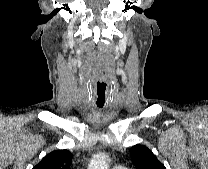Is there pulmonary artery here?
Instances as JSON below:
<instances>
[{"label": "pulmonary artery", "instance_id": "pulmonary-artery-1", "mask_svg": "<svg viewBox=\"0 0 208 169\" xmlns=\"http://www.w3.org/2000/svg\"><path fill=\"white\" fill-rule=\"evenodd\" d=\"M113 169H128V167L125 165H116L113 167Z\"/></svg>", "mask_w": 208, "mask_h": 169}]
</instances>
